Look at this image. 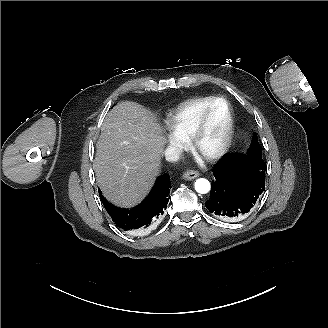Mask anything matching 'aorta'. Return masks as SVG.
<instances>
[{
	"label": "aorta",
	"mask_w": 328,
	"mask_h": 328,
	"mask_svg": "<svg viewBox=\"0 0 328 328\" xmlns=\"http://www.w3.org/2000/svg\"><path fill=\"white\" fill-rule=\"evenodd\" d=\"M195 190L200 194H206L210 191V182L205 178H199L195 181Z\"/></svg>",
	"instance_id": "aorta-1"
}]
</instances>
